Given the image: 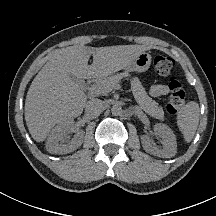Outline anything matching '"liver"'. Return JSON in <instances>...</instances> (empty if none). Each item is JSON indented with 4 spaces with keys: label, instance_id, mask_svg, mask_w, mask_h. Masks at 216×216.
<instances>
[{
    "label": "liver",
    "instance_id": "liver-1",
    "mask_svg": "<svg viewBox=\"0 0 216 216\" xmlns=\"http://www.w3.org/2000/svg\"><path fill=\"white\" fill-rule=\"evenodd\" d=\"M148 48L142 45L70 46L57 50L32 81L25 101V120L32 138L43 142L61 121L82 114L87 97L79 82L104 78L129 65ZM93 63L88 65L90 56Z\"/></svg>",
    "mask_w": 216,
    "mask_h": 216
}]
</instances>
